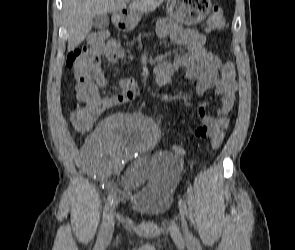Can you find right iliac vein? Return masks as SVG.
<instances>
[{"instance_id": "right-iliac-vein-1", "label": "right iliac vein", "mask_w": 295, "mask_h": 250, "mask_svg": "<svg viewBox=\"0 0 295 250\" xmlns=\"http://www.w3.org/2000/svg\"><path fill=\"white\" fill-rule=\"evenodd\" d=\"M114 226H115V218L113 214H110L108 220H107V224L105 227V233H104V237L106 240L111 239L113 231H114Z\"/></svg>"}]
</instances>
